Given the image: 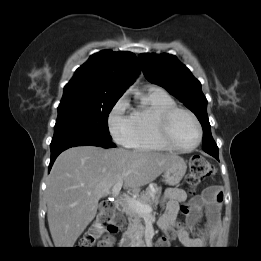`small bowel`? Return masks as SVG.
Returning a JSON list of instances; mask_svg holds the SVG:
<instances>
[{
    "label": "small bowel",
    "instance_id": "small-bowel-1",
    "mask_svg": "<svg viewBox=\"0 0 261 261\" xmlns=\"http://www.w3.org/2000/svg\"><path fill=\"white\" fill-rule=\"evenodd\" d=\"M187 196L183 189L169 188L163 196L165 206L164 214L158 220V226L168 231L176 224L180 205L186 200ZM223 192L217 186H211L204 190L203 194L191 201V209L188 214V221L191 226L199 223L205 215L207 224L212 232H217L220 226L221 204ZM177 235L182 245L188 249L202 248L207 245L205 236L191 237L187 228L178 224Z\"/></svg>",
    "mask_w": 261,
    "mask_h": 261
}]
</instances>
